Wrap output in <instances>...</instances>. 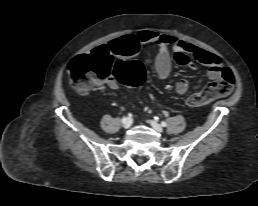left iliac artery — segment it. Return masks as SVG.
I'll return each mask as SVG.
<instances>
[{"mask_svg": "<svg viewBox=\"0 0 258 206\" xmlns=\"http://www.w3.org/2000/svg\"><path fill=\"white\" fill-rule=\"evenodd\" d=\"M161 124H162L163 127L167 126V123L165 121H162Z\"/></svg>", "mask_w": 258, "mask_h": 206, "instance_id": "obj_1", "label": "left iliac artery"}]
</instances>
